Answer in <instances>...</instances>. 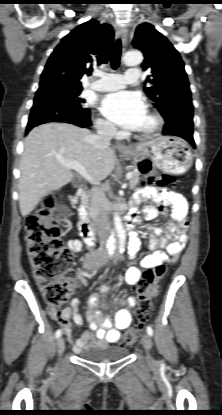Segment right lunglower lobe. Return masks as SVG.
I'll use <instances>...</instances> for the list:
<instances>
[{"mask_svg":"<svg viewBox=\"0 0 222 415\" xmlns=\"http://www.w3.org/2000/svg\"><path fill=\"white\" fill-rule=\"evenodd\" d=\"M48 122H65L80 127L92 125L90 110L82 108L81 104L64 90L62 81L52 78L40 81L26 133L33 127Z\"/></svg>","mask_w":222,"mask_h":415,"instance_id":"right-lung-lower-lobe-1","label":"right lung lower lobe"}]
</instances>
